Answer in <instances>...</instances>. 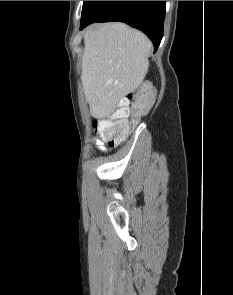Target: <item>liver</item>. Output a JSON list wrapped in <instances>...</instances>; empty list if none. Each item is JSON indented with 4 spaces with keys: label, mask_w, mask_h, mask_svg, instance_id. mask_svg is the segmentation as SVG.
<instances>
[{
    "label": "liver",
    "mask_w": 233,
    "mask_h": 295,
    "mask_svg": "<svg viewBox=\"0 0 233 295\" xmlns=\"http://www.w3.org/2000/svg\"><path fill=\"white\" fill-rule=\"evenodd\" d=\"M81 81L94 118L110 116L143 82L150 40L124 23L93 24L84 34Z\"/></svg>",
    "instance_id": "6515ba94"
}]
</instances>
